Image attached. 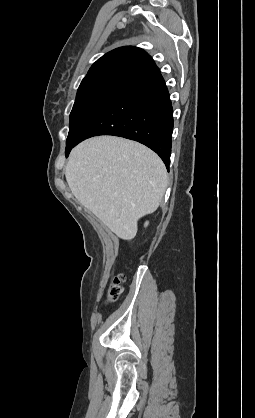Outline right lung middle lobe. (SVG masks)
Instances as JSON below:
<instances>
[{
    "mask_svg": "<svg viewBox=\"0 0 255 418\" xmlns=\"http://www.w3.org/2000/svg\"><path fill=\"white\" fill-rule=\"evenodd\" d=\"M125 87L112 83L81 85L70 114L69 134L66 146L79 137L94 115L118 92Z\"/></svg>",
    "mask_w": 255,
    "mask_h": 418,
    "instance_id": "right-lung-middle-lobe-1",
    "label": "right lung middle lobe"
}]
</instances>
